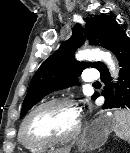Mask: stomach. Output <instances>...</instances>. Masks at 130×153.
Here are the masks:
<instances>
[{
    "instance_id": "stomach-1",
    "label": "stomach",
    "mask_w": 130,
    "mask_h": 153,
    "mask_svg": "<svg viewBox=\"0 0 130 153\" xmlns=\"http://www.w3.org/2000/svg\"><path fill=\"white\" fill-rule=\"evenodd\" d=\"M116 119L114 113H100L84 129L79 147L84 150H95L107 141L114 130Z\"/></svg>"
}]
</instances>
